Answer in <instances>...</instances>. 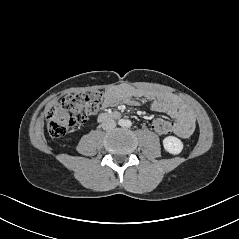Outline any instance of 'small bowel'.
Segmentation results:
<instances>
[{
    "mask_svg": "<svg viewBox=\"0 0 239 239\" xmlns=\"http://www.w3.org/2000/svg\"><path fill=\"white\" fill-rule=\"evenodd\" d=\"M138 99H145L152 109L166 113L174 120L167 134L173 133L181 138L193 134L196 126L194 114L170 93L119 85L105 91L102 107L110 108L120 103L134 105Z\"/></svg>",
    "mask_w": 239,
    "mask_h": 239,
    "instance_id": "small-bowel-1",
    "label": "small bowel"
}]
</instances>
